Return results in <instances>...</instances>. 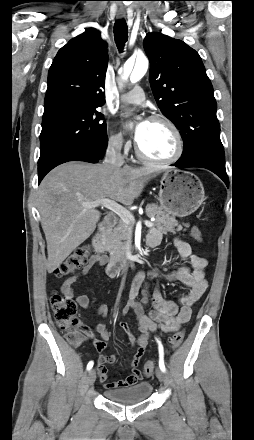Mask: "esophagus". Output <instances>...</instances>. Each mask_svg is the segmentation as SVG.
<instances>
[{"mask_svg": "<svg viewBox=\"0 0 254 440\" xmlns=\"http://www.w3.org/2000/svg\"><path fill=\"white\" fill-rule=\"evenodd\" d=\"M118 18H119V19L124 18V15H118Z\"/></svg>", "mask_w": 254, "mask_h": 440, "instance_id": "34e87169", "label": "esophagus"}]
</instances>
